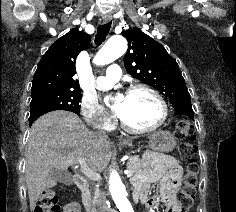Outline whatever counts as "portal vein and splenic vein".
Instances as JSON below:
<instances>
[{
    "label": "portal vein and splenic vein",
    "instance_id": "1",
    "mask_svg": "<svg viewBox=\"0 0 236 212\" xmlns=\"http://www.w3.org/2000/svg\"><path fill=\"white\" fill-rule=\"evenodd\" d=\"M79 163L81 165V169L80 170H81V172L86 177H88L89 179H92V180H99V179H101V175L97 171H94V170L90 169L89 167H87L85 165V160L83 158H79ZM125 174L128 177L132 176V173L129 170H126Z\"/></svg>",
    "mask_w": 236,
    "mask_h": 212
}]
</instances>
